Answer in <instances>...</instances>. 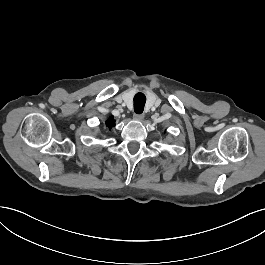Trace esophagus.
Instances as JSON below:
<instances>
[{
  "mask_svg": "<svg viewBox=\"0 0 265 265\" xmlns=\"http://www.w3.org/2000/svg\"><path fill=\"white\" fill-rule=\"evenodd\" d=\"M133 118H134V120L141 121V120H143L144 115L143 114H135Z\"/></svg>",
  "mask_w": 265,
  "mask_h": 265,
  "instance_id": "1",
  "label": "esophagus"
}]
</instances>
